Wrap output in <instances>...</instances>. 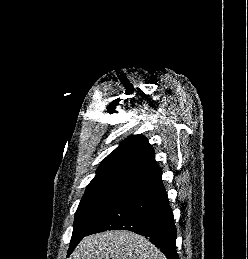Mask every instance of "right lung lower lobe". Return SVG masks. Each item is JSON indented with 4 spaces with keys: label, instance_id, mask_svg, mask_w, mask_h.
Returning <instances> with one entry per match:
<instances>
[{
    "label": "right lung lower lobe",
    "instance_id": "obj_1",
    "mask_svg": "<svg viewBox=\"0 0 248 259\" xmlns=\"http://www.w3.org/2000/svg\"><path fill=\"white\" fill-rule=\"evenodd\" d=\"M113 229L129 230L143 235L167 259H179L176 253L177 231L161 171L132 185L86 236ZM75 247L76 245L69 251L68 256Z\"/></svg>",
    "mask_w": 248,
    "mask_h": 259
}]
</instances>
